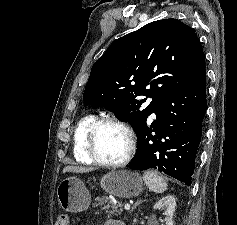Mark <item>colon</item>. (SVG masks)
Segmentation results:
<instances>
[{"label": "colon", "mask_w": 237, "mask_h": 225, "mask_svg": "<svg viewBox=\"0 0 237 225\" xmlns=\"http://www.w3.org/2000/svg\"><path fill=\"white\" fill-rule=\"evenodd\" d=\"M71 218L68 214H60L56 220V225H70Z\"/></svg>", "instance_id": "colon-1"}]
</instances>
